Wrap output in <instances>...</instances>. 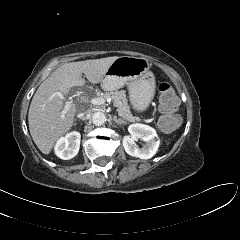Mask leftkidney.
Listing matches in <instances>:
<instances>
[{
  "label": "left kidney",
  "instance_id": "1",
  "mask_svg": "<svg viewBox=\"0 0 240 240\" xmlns=\"http://www.w3.org/2000/svg\"><path fill=\"white\" fill-rule=\"evenodd\" d=\"M128 131L130 135L123 137V147L127 154L140 159H150L156 154L160 141L154 128L136 123L131 124ZM138 139L146 142L142 148L135 143Z\"/></svg>",
  "mask_w": 240,
  "mask_h": 240
}]
</instances>
